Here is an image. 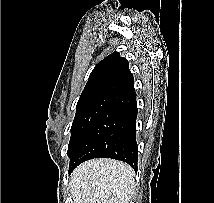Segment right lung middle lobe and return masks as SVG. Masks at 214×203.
I'll return each instance as SVG.
<instances>
[{
  "instance_id": "1",
  "label": "right lung middle lobe",
  "mask_w": 214,
  "mask_h": 203,
  "mask_svg": "<svg viewBox=\"0 0 214 203\" xmlns=\"http://www.w3.org/2000/svg\"><path fill=\"white\" fill-rule=\"evenodd\" d=\"M110 97H88L79 99L76 108V115L71 127V139L67 151L70 157L86 132L103 113V111L113 102Z\"/></svg>"
}]
</instances>
